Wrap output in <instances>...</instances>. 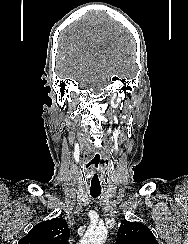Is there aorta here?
Segmentation results:
<instances>
[{
  "mask_svg": "<svg viewBox=\"0 0 188 244\" xmlns=\"http://www.w3.org/2000/svg\"><path fill=\"white\" fill-rule=\"evenodd\" d=\"M108 231L103 226L92 227L87 230L80 244H104Z\"/></svg>",
  "mask_w": 188,
  "mask_h": 244,
  "instance_id": "1",
  "label": "aorta"
}]
</instances>
